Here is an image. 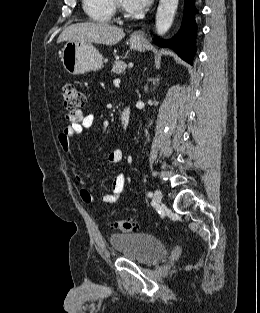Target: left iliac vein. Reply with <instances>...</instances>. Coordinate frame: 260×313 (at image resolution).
I'll use <instances>...</instances> for the list:
<instances>
[{"instance_id":"obj_1","label":"left iliac vein","mask_w":260,"mask_h":313,"mask_svg":"<svg viewBox=\"0 0 260 313\" xmlns=\"http://www.w3.org/2000/svg\"><path fill=\"white\" fill-rule=\"evenodd\" d=\"M162 201V192L159 189H156L153 196V203L156 206H159Z\"/></svg>"}]
</instances>
